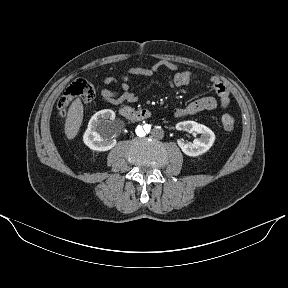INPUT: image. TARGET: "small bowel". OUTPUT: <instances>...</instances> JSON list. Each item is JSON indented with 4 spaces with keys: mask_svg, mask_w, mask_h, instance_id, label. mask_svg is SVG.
I'll return each instance as SVG.
<instances>
[{
    "mask_svg": "<svg viewBox=\"0 0 288 288\" xmlns=\"http://www.w3.org/2000/svg\"><path fill=\"white\" fill-rule=\"evenodd\" d=\"M162 70L167 71L168 80L171 87L191 86L195 81L200 80L198 75L192 71L181 69L177 64L168 60H160L150 68H131L129 69V73L138 76L150 77ZM103 81L105 84L115 83L114 79L111 77H106ZM209 86L210 90L217 95L218 99L212 96L202 97L190 102L183 108L175 109L174 115L176 117H190L203 111H213L218 107L226 109L230 104L228 89L216 77H211L209 79ZM100 95L104 101L114 106H121L125 103H133L138 99L131 86L126 82L120 83L117 90L102 89Z\"/></svg>",
    "mask_w": 288,
    "mask_h": 288,
    "instance_id": "small-bowel-1",
    "label": "small bowel"
}]
</instances>
